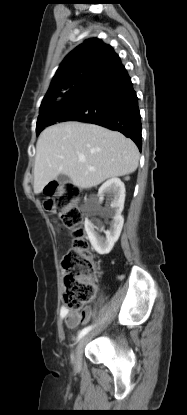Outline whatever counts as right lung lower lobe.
Here are the masks:
<instances>
[{"mask_svg":"<svg viewBox=\"0 0 187 415\" xmlns=\"http://www.w3.org/2000/svg\"><path fill=\"white\" fill-rule=\"evenodd\" d=\"M50 117V125L80 121L117 130L142 149L141 117L131 78L118 57L77 84Z\"/></svg>","mask_w":187,"mask_h":415,"instance_id":"1","label":"right lung lower lobe"}]
</instances>
